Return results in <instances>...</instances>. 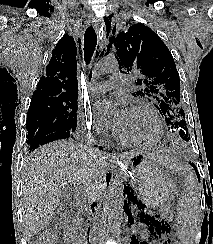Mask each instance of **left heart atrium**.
I'll list each match as a JSON object with an SVG mask.
<instances>
[{
	"label": "left heart atrium",
	"mask_w": 213,
	"mask_h": 244,
	"mask_svg": "<svg viewBox=\"0 0 213 244\" xmlns=\"http://www.w3.org/2000/svg\"><path fill=\"white\" fill-rule=\"evenodd\" d=\"M112 107H115V111L113 115L109 117L108 114ZM94 109L98 119L116 132L125 124L130 113V110L123 104L114 103L113 101L105 99L95 101Z\"/></svg>",
	"instance_id": "1"
}]
</instances>
